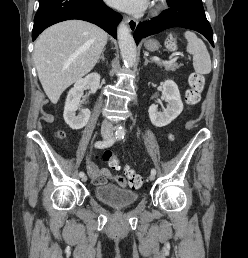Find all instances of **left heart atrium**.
Wrapping results in <instances>:
<instances>
[{"label":"left heart atrium","instance_id":"39dd6f15","mask_svg":"<svg viewBox=\"0 0 248 258\" xmlns=\"http://www.w3.org/2000/svg\"><path fill=\"white\" fill-rule=\"evenodd\" d=\"M109 5L126 12L138 14L144 11L149 0H106Z\"/></svg>","mask_w":248,"mask_h":258}]
</instances>
